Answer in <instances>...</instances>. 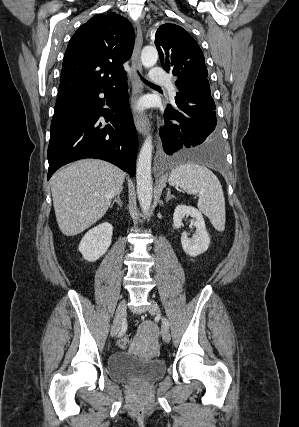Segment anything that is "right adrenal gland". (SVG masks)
Wrapping results in <instances>:
<instances>
[{
    "instance_id": "2a0ac1e0",
    "label": "right adrenal gland",
    "mask_w": 299,
    "mask_h": 427,
    "mask_svg": "<svg viewBox=\"0 0 299 427\" xmlns=\"http://www.w3.org/2000/svg\"><path fill=\"white\" fill-rule=\"evenodd\" d=\"M122 192V190L120 192L117 193L116 198L113 200V202L111 203L110 207L112 208V206L114 205V203L116 202L120 207H122V201L120 199V193Z\"/></svg>"
}]
</instances>
